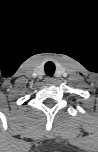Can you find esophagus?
I'll return each instance as SVG.
<instances>
[{"label":"esophagus","instance_id":"obj_1","mask_svg":"<svg viewBox=\"0 0 98 152\" xmlns=\"http://www.w3.org/2000/svg\"><path fill=\"white\" fill-rule=\"evenodd\" d=\"M45 81L47 83H53L54 82V78L48 76V77L45 78Z\"/></svg>","mask_w":98,"mask_h":152}]
</instances>
